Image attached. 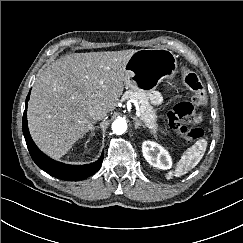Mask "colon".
Instances as JSON below:
<instances>
[{
	"mask_svg": "<svg viewBox=\"0 0 243 243\" xmlns=\"http://www.w3.org/2000/svg\"><path fill=\"white\" fill-rule=\"evenodd\" d=\"M183 83L192 93V101L178 103L168 114L169 126L185 137L188 141H196L203 137V130L199 127H188L196 116V109L207 104V92L200 77L195 72L183 68Z\"/></svg>",
	"mask_w": 243,
	"mask_h": 243,
	"instance_id": "1",
	"label": "colon"
}]
</instances>
